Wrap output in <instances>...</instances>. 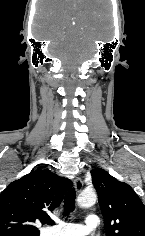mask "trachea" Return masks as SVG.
I'll list each match as a JSON object with an SVG mask.
<instances>
[{
	"label": "trachea",
	"instance_id": "obj_1",
	"mask_svg": "<svg viewBox=\"0 0 145 236\" xmlns=\"http://www.w3.org/2000/svg\"><path fill=\"white\" fill-rule=\"evenodd\" d=\"M75 197L76 192L75 189H70L64 199V216L69 215L70 212H73L75 209Z\"/></svg>",
	"mask_w": 145,
	"mask_h": 236
}]
</instances>
